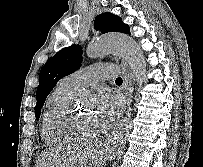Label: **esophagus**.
<instances>
[{"label":"esophagus","mask_w":203,"mask_h":167,"mask_svg":"<svg viewBox=\"0 0 203 167\" xmlns=\"http://www.w3.org/2000/svg\"><path fill=\"white\" fill-rule=\"evenodd\" d=\"M121 67H122V75H123V86H122V91L124 93V97H125V105L123 107L122 112L119 115V118L122 117L123 113L125 112L127 105L129 103V97L131 94V90H130V82L132 79V76L130 75V73L127 70V65L124 61L121 62ZM99 147L103 146V141L101 140L98 144Z\"/></svg>","instance_id":"1"}]
</instances>
